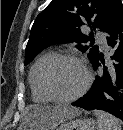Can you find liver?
I'll return each instance as SVG.
<instances>
[{"instance_id":"liver-1","label":"liver","mask_w":123,"mask_h":130,"mask_svg":"<svg viewBox=\"0 0 123 130\" xmlns=\"http://www.w3.org/2000/svg\"><path fill=\"white\" fill-rule=\"evenodd\" d=\"M79 114L80 111L77 108L69 106H35L26 116L23 128L29 130H51Z\"/></svg>"}]
</instances>
